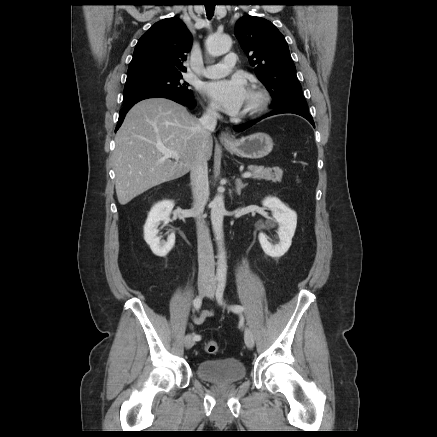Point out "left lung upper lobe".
Here are the masks:
<instances>
[{"label":"left lung upper lobe","mask_w":437,"mask_h":437,"mask_svg":"<svg viewBox=\"0 0 437 437\" xmlns=\"http://www.w3.org/2000/svg\"><path fill=\"white\" fill-rule=\"evenodd\" d=\"M235 36L257 77L272 95L271 108L308 111L295 65L281 32L264 18L244 16L235 25Z\"/></svg>","instance_id":"left-lung-upper-lobe-1"}]
</instances>
